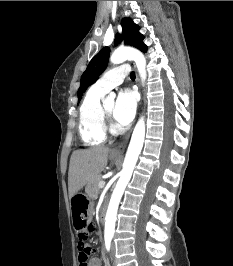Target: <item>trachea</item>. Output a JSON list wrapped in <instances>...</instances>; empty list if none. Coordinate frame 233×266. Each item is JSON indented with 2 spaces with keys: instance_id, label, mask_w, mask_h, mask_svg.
I'll list each match as a JSON object with an SVG mask.
<instances>
[{
  "instance_id": "trachea-1",
  "label": "trachea",
  "mask_w": 233,
  "mask_h": 266,
  "mask_svg": "<svg viewBox=\"0 0 233 266\" xmlns=\"http://www.w3.org/2000/svg\"><path fill=\"white\" fill-rule=\"evenodd\" d=\"M130 78H131V79H135V73H134V72H131V73H130Z\"/></svg>"
}]
</instances>
